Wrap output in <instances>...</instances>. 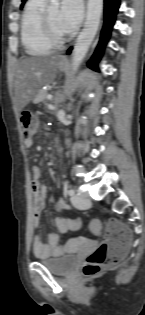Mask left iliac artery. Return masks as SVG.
I'll use <instances>...</instances> for the list:
<instances>
[{"label": "left iliac artery", "instance_id": "obj_1", "mask_svg": "<svg viewBox=\"0 0 145 315\" xmlns=\"http://www.w3.org/2000/svg\"><path fill=\"white\" fill-rule=\"evenodd\" d=\"M67 193H68V195L73 196V195L75 194V191L70 188V189L67 191Z\"/></svg>", "mask_w": 145, "mask_h": 315}]
</instances>
